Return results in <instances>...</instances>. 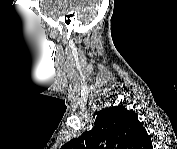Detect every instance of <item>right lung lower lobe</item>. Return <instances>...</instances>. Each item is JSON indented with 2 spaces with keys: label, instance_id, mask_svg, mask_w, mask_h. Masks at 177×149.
I'll return each instance as SVG.
<instances>
[{
  "label": "right lung lower lobe",
  "instance_id": "obj_1",
  "mask_svg": "<svg viewBox=\"0 0 177 149\" xmlns=\"http://www.w3.org/2000/svg\"><path fill=\"white\" fill-rule=\"evenodd\" d=\"M147 148H152V142H151V140H150V143L147 145Z\"/></svg>",
  "mask_w": 177,
  "mask_h": 149
}]
</instances>
